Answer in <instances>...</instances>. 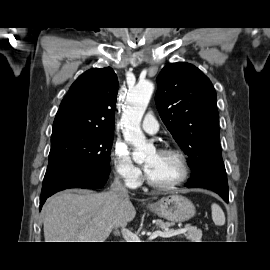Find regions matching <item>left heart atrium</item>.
I'll list each match as a JSON object with an SVG mask.
<instances>
[{"instance_id":"1","label":"left heart atrium","mask_w":270,"mask_h":270,"mask_svg":"<svg viewBox=\"0 0 270 270\" xmlns=\"http://www.w3.org/2000/svg\"><path fill=\"white\" fill-rule=\"evenodd\" d=\"M145 170H146V171L148 170V166H145Z\"/></svg>"}]
</instances>
